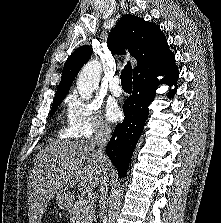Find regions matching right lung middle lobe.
I'll return each instance as SVG.
<instances>
[{
  "label": "right lung middle lobe",
  "instance_id": "dd1d6c3e",
  "mask_svg": "<svg viewBox=\"0 0 221 223\" xmlns=\"http://www.w3.org/2000/svg\"><path fill=\"white\" fill-rule=\"evenodd\" d=\"M62 100H63V98L55 99L53 101L52 108H51V112H50V116L54 115V113L56 112V110L58 108V105H60V103L62 102Z\"/></svg>",
  "mask_w": 221,
  "mask_h": 223
}]
</instances>
